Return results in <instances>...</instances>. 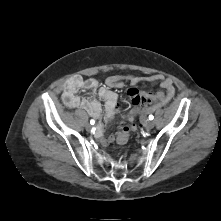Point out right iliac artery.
<instances>
[{"label": "right iliac artery", "mask_w": 221, "mask_h": 221, "mask_svg": "<svg viewBox=\"0 0 221 221\" xmlns=\"http://www.w3.org/2000/svg\"><path fill=\"white\" fill-rule=\"evenodd\" d=\"M90 124H91V125H94V124H95V120L91 119V120H90Z\"/></svg>", "instance_id": "right-iliac-artery-1"}]
</instances>
